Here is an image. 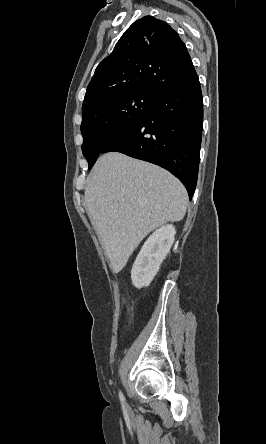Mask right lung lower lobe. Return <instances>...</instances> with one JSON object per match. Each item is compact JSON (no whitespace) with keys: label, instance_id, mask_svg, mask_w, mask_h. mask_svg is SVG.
<instances>
[{"label":"right lung lower lobe","instance_id":"98d812e1","mask_svg":"<svg viewBox=\"0 0 266 444\" xmlns=\"http://www.w3.org/2000/svg\"><path fill=\"white\" fill-rule=\"evenodd\" d=\"M203 126L198 76L161 93L151 111L113 138L102 153L120 152L156 164L175 175L191 200L197 183Z\"/></svg>","mask_w":266,"mask_h":444}]
</instances>
